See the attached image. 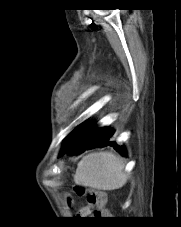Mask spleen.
I'll return each mask as SVG.
<instances>
[{"mask_svg": "<svg viewBox=\"0 0 181 227\" xmlns=\"http://www.w3.org/2000/svg\"><path fill=\"white\" fill-rule=\"evenodd\" d=\"M128 180L124 160L112 152H93L78 163L74 181L97 190H116Z\"/></svg>", "mask_w": 181, "mask_h": 227, "instance_id": "1", "label": "spleen"}]
</instances>
